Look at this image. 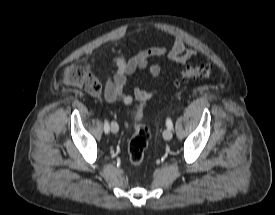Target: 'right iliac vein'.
I'll return each instance as SVG.
<instances>
[{
	"label": "right iliac vein",
	"instance_id": "1",
	"mask_svg": "<svg viewBox=\"0 0 275 215\" xmlns=\"http://www.w3.org/2000/svg\"><path fill=\"white\" fill-rule=\"evenodd\" d=\"M119 131V126L115 121L111 122V132L116 134Z\"/></svg>",
	"mask_w": 275,
	"mask_h": 215
}]
</instances>
